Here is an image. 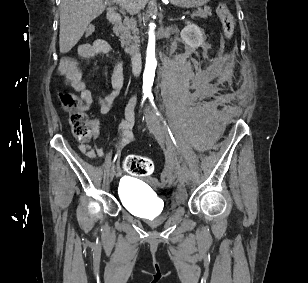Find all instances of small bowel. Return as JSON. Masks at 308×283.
Wrapping results in <instances>:
<instances>
[{
	"label": "small bowel",
	"mask_w": 308,
	"mask_h": 283,
	"mask_svg": "<svg viewBox=\"0 0 308 283\" xmlns=\"http://www.w3.org/2000/svg\"><path fill=\"white\" fill-rule=\"evenodd\" d=\"M110 49V45L107 41L97 39L92 44L80 45L78 52L82 58H91L97 55L108 54ZM59 71L64 77L65 83L80 94L81 100L84 103V110L90 109L96 102L99 104L100 113L103 115H107L113 110L124 82L123 68L121 65H117L113 71L111 78L112 90L104 97H99L97 99L87 89L85 82L82 80L80 67L75 59L70 57L63 58L59 66ZM135 103V98L129 101L125 109L126 118L119 125L123 138L117 146L118 150L122 149L134 139L131 128L134 125ZM94 137L95 139L99 137V131L96 125L94 126ZM78 149L89 159L103 157L105 154L102 147L98 145L90 146L85 141L79 144Z\"/></svg>",
	"instance_id": "c3829d8e"
}]
</instances>
